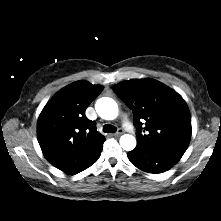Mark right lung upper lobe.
<instances>
[{"instance_id":"right-lung-upper-lobe-1","label":"right lung upper lobe","mask_w":221,"mask_h":221,"mask_svg":"<svg viewBox=\"0 0 221 221\" xmlns=\"http://www.w3.org/2000/svg\"><path fill=\"white\" fill-rule=\"evenodd\" d=\"M102 90V86L76 81L57 92L38 118L37 138L42 152L65 173L85 170L101 154L105 138L85 110Z\"/></svg>"}]
</instances>
